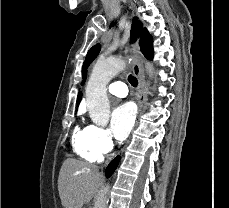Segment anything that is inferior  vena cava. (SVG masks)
Masks as SVG:
<instances>
[{"mask_svg": "<svg viewBox=\"0 0 229 208\" xmlns=\"http://www.w3.org/2000/svg\"><path fill=\"white\" fill-rule=\"evenodd\" d=\"M95 208H97V202H96V206H95Z\"/></svg>", "mask_w": 229, "mask_h": 208, "instance_id": "obj_1", "label": "inferior vena cava"}]
</instances>
